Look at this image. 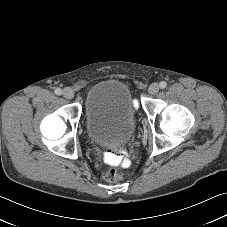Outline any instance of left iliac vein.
<instances>
[{
  "mask_svg": "<svg viewBox=\"0 0 227 227\" xmlns=\"http://www.w3.org/2000/svg\"><path fill=\"white\" fill-rule=\"evenodd\" d=\"M148 92L151 95H155L159 92V85L157 83H153L149 86Z\"/></svg>",
  "mask_w": 227,
  "mask_h": 227,
  "instance_id": "4c4485c4",
  "label": "left iliac vein"
}]
</instances>
